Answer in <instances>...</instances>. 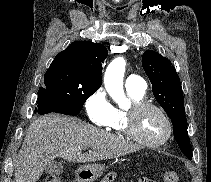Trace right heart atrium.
Segmentation results:
<instances>
[{
  "label": "right heart atrium",
  "instance_id": "obj_1",
  "mask_svg": "<svg viewBox=\"0 0 211 182\" xmlns=\"http://www.w3.org/2000/svg\"><path fill=\"white\" fill-rule=\"evenodd\" d=\"M84 108L88 119L97 126H105L113 113V105L103 88L95 90L86 98Z\"/></svg>",
  "mask_w": 211,
  "mask_h": 182
}]
</instances>
